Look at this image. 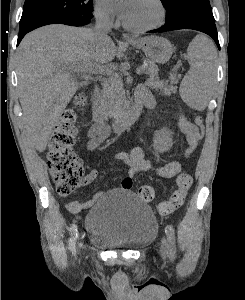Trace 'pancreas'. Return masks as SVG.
<instances>
[{"label":"pancreas","mask_w":245,"mask_h":300,"mask_svg":"<svg viewBox=\"0 0 245 300\" xmlns=\"http://www.w3.org/2000/svg\"><path fill=\"white\" fill-rule=\"evenodd\" d=\"M146 67H144L147 79V85L154 89H160L166 96L171 95L177 91L175 86L178 82V78L175 73H170L169 80L163 81L158 77V66L150 61L146 60ZM170 83V85L168 84ZM126 97L122 89V83L120 76L114 71L107 72V78L103 82V91L101 96V105L104 111L109 117H117L123 113L125 109Z\"/></svg>","instance_id":"cf45deb5"}]
</instances>
